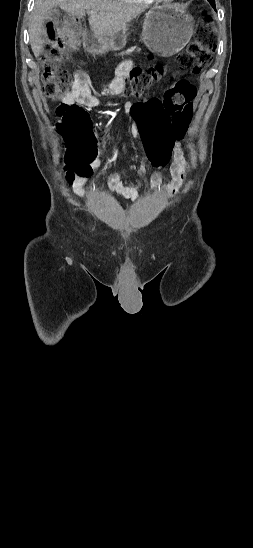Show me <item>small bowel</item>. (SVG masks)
Instances as JSON below:
<instances>
[{
    "label": "small bowel",
    "instance_id": "1",
    "mask_svg": "<svg viewBox=\"0 0 253 548\" xmlns=\"http://www.w3.org/2000/svg\"><path fill=\"white\" fill-rule=\"evenodd\" d=\"M135 69L133 62L126 61L122 63L116 72V78L112 81L106 92L105 102L113 101L119 94L125 78L129 76L132 70ZM63 102L67 105L80 104L89 108H94L102 105V101L94 96L90 89L89 76L83 71H76L73 74V85L69 93L63 97ZM136 103H128L126 110L132 114L133 107ZM135 135L139 133H134ZM172 163L170 172L172 175V181L169 184H163L162 173L158 169L150 177V188L153 191H162L170 196L176 195L183 183L184 177V153L178 140V137L174 139V143L171 146ZM102 159H95L92 162L91 170L98 169L103 165ZM160 168L161 166H156ZM137 173L140 176L146 174L145 162H140L137 167ZM88 176L75 177L72 180V191L79 198H83L85 195L83 186L86 183ZM108 186L110 190L127 200L136 201L139 197L137 189L132 185H126L123 183L118 173H111L108 176Z\"/></svg>",
    "mask_w": 253,
    "mask_h": 548
}]
</instances>
